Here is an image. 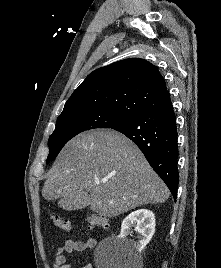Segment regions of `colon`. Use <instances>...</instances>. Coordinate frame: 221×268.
Wrapping results in <instances>:
<instances>
[{
    "instance_id": "colon-1",
    "label": "colon",
    "mask_w": 221,
    "mask_h": 268,
    "mask_svg": "<svg viewBox=\"0 0 221 268\" xmlns=\"http://www.w3.org/2000/svg\"><path fill=\"white\" fill-rule=\"evenodd\" d=\"M51 219L54 225L62 231L69 232L72 230V225L69 220L62 218L59 215L52 214ZM87 224L90 229L101 227L108 228L109 222L105 216L99 214H93L87 218Z\"/></svg>"
}]
</instances>
